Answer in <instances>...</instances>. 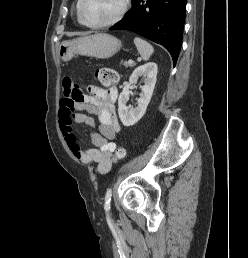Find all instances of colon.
<instances>
[{"label": "colon", "instance_id": "1", "mask_svg": "<svg viewBox=\"0 0 248 258\" xmlns=\"http://www.w3.org/2000/svg\"><path fill=\"white\" fill-rule=\"evenodd\" d=\"M98 80L106 86L113 85L117 82L118 80V74L116 71L111 70V69H102L98 72L97 74ZM78 96L79 98L81 96V92L76 86ZM126 155L125 149L123 147H118L113 155V162L116 163L120 160H122Z\"/></svg>", "mask_w": 248, "mask_h": 258}]
</instances>
